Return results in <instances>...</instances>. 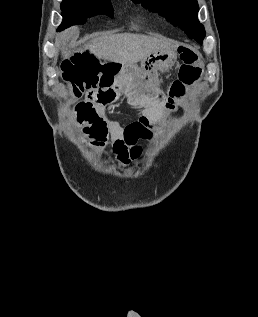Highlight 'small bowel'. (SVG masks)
Returning a JSON list of instances; mask_svg holds the SVG:
<instances>
[{"label":"small bowel","instance_id":"obj_1","mask_svg":"<svg viewBox=\"0 0 258 317\" xmlns=\"http://www.w3.org/2000/svg\"><path fill=\"white\" fill-rule=\"evenodd\" d=\"M73 115L82 128L86 142L101 150L110 141L116 159L121 165H128L141 156L142 148L138 144L140 139H155L147 119L141 118L122 126L116 119L87 100L75 105Z\"/></svg>","mask_w":258,"mask_h":317}]
</instances>
